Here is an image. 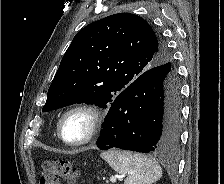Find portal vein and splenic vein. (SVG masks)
Here are the masks:
<instances>
[{"mask_svg": "<svg viewBox=\"0 0 224 184\" xmlns=\"http://www.w3.org/2000/svg\"><path fill=\"white\" fill-rule=\"evenodd\" d=\"M110 181H111V183H115L116 182V177L115 176L110 177Z\"/></svg>", "mask_w": 224, "mask_h": 184, "instance_id": "obj_1", "label": "portal vein and splenic vein"}]
</instances>
